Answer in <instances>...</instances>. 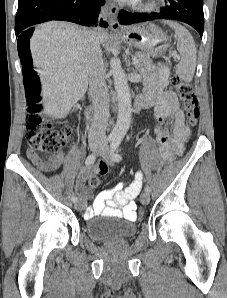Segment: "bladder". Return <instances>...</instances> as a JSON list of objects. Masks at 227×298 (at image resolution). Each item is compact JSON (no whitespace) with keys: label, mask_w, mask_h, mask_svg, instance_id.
<instances>
[{"label":"bladder","mask_w":227,"mask_h":298,"mask_svg":"<svg viewBox=\"0 0 227 298\" xmlns=\"http://www.w3.org/2000/svg\"><path fill=\"white\" fill-rule=\"evenodd\" d=\"M85 232L91 240L97 242L126 240L136 234L137 225L121 218L91 219L86 223Z\"/></svg>","instance_id":"obj_1"}]
</instances>
